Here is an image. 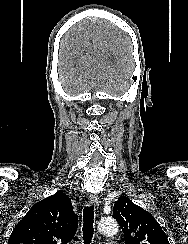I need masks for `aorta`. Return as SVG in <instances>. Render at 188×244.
I'll list each match as a JSON object with an SVG mask.
<instances>
[{"label":"aorta","instance_id":"1","mask_svg":"<svg viewBox=\"0 0 188 244\" xmlns=\"http://www.w3.org/2000/svg\"><path fill=\"white\" fill-rule=\"evenodd\" d=\"M98 230L103 235L112 236L118 232V224L114 218L105 217L99 221Z\"/></svg>","mask_w":188,"mask_h":244}]
</instances>
